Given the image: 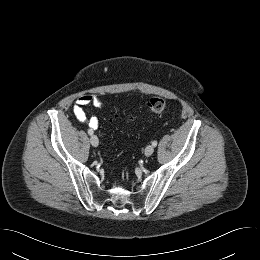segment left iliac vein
I'll use <instances>...</instances> for the list:
<instances>
[{
  "instance_id": "1",
  "label": "left iliac vein",
  "mask_w": 260,
  "mask_h": 260,
  "mask_svg": "<svg viewBox=\"0 0 260 260\" xmlns=\"http://www.w3.org/2000/svg\"><path fill=\"white\" fill-rule=\"evenodd\" d=\"M153 152H154V146H153V145H148V146L145 148V155H146V156L152 155Z\"/></svg>"
}]
</instances>
